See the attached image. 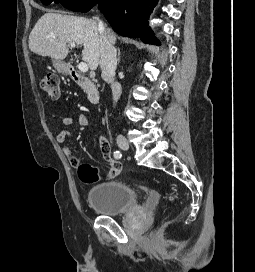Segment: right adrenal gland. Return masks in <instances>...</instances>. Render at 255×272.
Returning a JSON list of instances; mask_svg holds the SVG:
<instances>
[{
    "instance_id": "1",
    "label": "right adrenal gland",
    "mask_w": 255,
    "mask_h": 272,
    "mask_svg": "<svg viewBox=\"0 0 255 272\" xmlns=\"http://www.w3.org/2000/svg\"><path fill=\"white\" fill-rule=\"evenodd\" d=\"M118 63L120 62V49L118 48Z\"/></svg>"
}]
</instances>
